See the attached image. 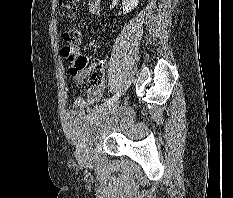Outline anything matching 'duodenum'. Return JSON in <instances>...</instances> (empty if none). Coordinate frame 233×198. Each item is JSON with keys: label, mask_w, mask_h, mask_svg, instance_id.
I'll use <instances>...</instances> for the list:
<instances>
[{"label": "duodenum", "mask_w": 233, "mask_h": 198, "mask_svg": "<svg viewBox=\"0 0 233 198\" xmlns=\"http://www.w3.org/2000/svg\"><path fill=\"white\" fill-rule=\"evenodd\" d=\"M92 14H97L100 11V0H92L89 6Z\"/></svg>", "instance_id": "duodenum-1"}]
</instances>
